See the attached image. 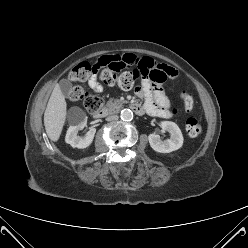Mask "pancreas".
I'll use <instances>...</instances> for the list:
<instances>
[{"label": "pancreas", "mask_w": 248, "mask_h": 248, "mask_svg": "<svg viewBox=\"0 0 248 248\" xmlns=\"http://www.w3.org/2000/svg\"><path fill=\"white\" fill-rule=\"evenodd\" d=\"M121 106H122V102L118 99L110 100L106 104V108L111 111H118Z\"/></svg>", "instance_id": "1"}]
</instances>
